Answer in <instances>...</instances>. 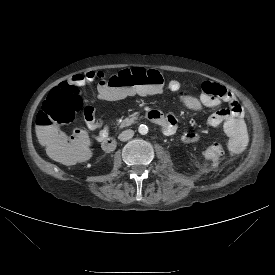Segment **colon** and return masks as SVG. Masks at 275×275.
<instances>
[{
  "label": "colon",
  "mask_w": 275,
  "mask_h": 275,
  "mask_svg": "<svg viewBox=\"0 0 275 275\" xmlns=\"http://www.w3.org/2000/svg\"><path fill=\"white\" fill-rule=\"evenodd\" d=\"M102 77L98 79L102 80ZM163 81L160 71L137 68L102 80L99 95L107 101L159 95L164 90ZM93 112L92 107L84 106L81 88L77 84L63 82L49 93L37 115V123L41 141L53 159L61 160L69 156L77 144L76 137L66 136L60 127L71 124L77 115L85 119Z\"/></svg>",
  "instance_id": "5ec220e1"
}]
</instances>
